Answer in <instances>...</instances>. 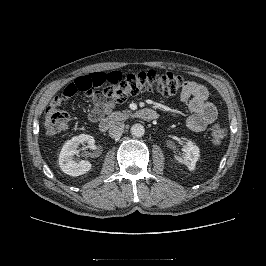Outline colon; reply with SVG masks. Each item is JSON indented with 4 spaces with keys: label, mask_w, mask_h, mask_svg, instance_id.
Returning <instances> with one entry per match:
<instances>
[{
    "label": "colon",
    "mask_w": 266,
    "mask_h": 266,
    "mask_svg": "<svg viewBox=\"0 0 266 266\" xmlns=\"http://www.w3.org/2000/svg\"><path fill=\"white\" fill-rule=\"evenodd\" d=\"M183 77L173 72L142 71L123 75L118 71L92 73L76 78L68 84L61 96L54 99L44 114L46 133L57 135L69 127V115L59 107L78 92H91L103 87V95L114 103L125 102L130 96L144 91L155 90L165 96L176 94L183 86ZM226 137V129L214 124L209 130V140L213 146H219Z\"/></svg>",
    "instance_id": "colon-1"
}]
</instances>
